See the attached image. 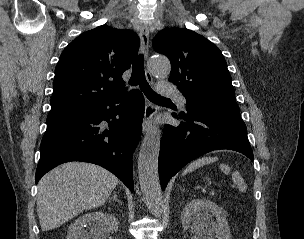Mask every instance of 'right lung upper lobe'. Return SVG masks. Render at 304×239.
Segmentation results:
<instances>
[{
  "label": "right lung upper lobe",
  "mask_w": 304,
  "mask_h": 239,
  "mask_svg": "<svg viewBox=\"0 0 304 239\" xmlns=\"http://www.w3.org/2000/svg\"><path fill=\"white\" fill-rule=\"evenodd\" d=\"M131 30L99 26L84 32L62 52L55 68L47 121L70 117L126 91L122 74L139 48Z\"/></svg>",
  "instance_id": "obj_1"
}]
</instances>
